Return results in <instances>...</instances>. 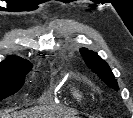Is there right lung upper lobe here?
Listing matches in <instances>:
<instances>
[{"label": "right lung upper lobe", "mask_w": 133, "mask_h": 118, "mask_svg": "<svg viewBox=\"0 0 133 118\" xmlns=\"http://www.w3.org/2000/svg\"><path fill=\"white\" fill-rule=\"evenodd\" d=\"M21 66H32V64L29 61L16 56H9L6 60L0 63V69L17 68Z\"/></svg>", "instance_id": "obj_1"}]
</instances>
